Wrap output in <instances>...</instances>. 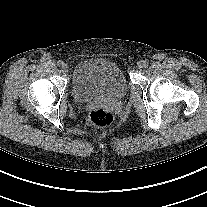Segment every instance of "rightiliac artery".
Masks as SVG:
<instances>
[{"label":"right iliac artery","instance_id":"1","mask_svg":"<svg viewBox=\"0 0 207 207\" xmlns=\"http://www.w3.org/2000/svg\"><path fill=\"white\" fill-rule=\"evenodd\" d=\"M63 64H64V62H63L62 60H59V61L57 62V65H58L59 67H61Z\"/></svg>","mask_w":207,"mask_h":207}]
</instances>
